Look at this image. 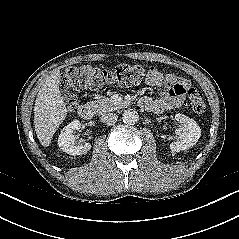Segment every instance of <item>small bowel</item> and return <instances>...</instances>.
<instances>
[{
    "mask_svg": "<svg viewBox=\"0 0 239 239\" xmlns=\"http://www.w3.org/2000/svg\"><path fill=\"white\" fill-rule=\"evenodd\" d=\"M146 83L151 87L162 88L160 97H144L141 100V104L146 110L155 113L178 107L183 101L186 88L189 86L187 80L178 79L173 75L165 76L155 67H150Z\"/></svg>",
    "mask_w": 239,
    "mask_h": 239,
    "instance_id": "1",
    "label": "small bowel"
}]
</instances>
